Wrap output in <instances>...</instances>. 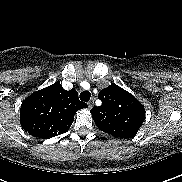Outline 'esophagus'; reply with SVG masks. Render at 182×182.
<instances>
[{"mask_svg": "<svg viewBox=\"0 0 182 182\" xmlns=\"http://www.w3.org/2000/svg\"><path fill=\"white\" fill-rule=\"evenodd\" d=\"M87 104L88 108L91 109L94 106V99H90Z\"/></svg>", "mask_w": 182, "mask_h": 182, "instance_id": "1", "label": "esophagus"}]
</instances>
